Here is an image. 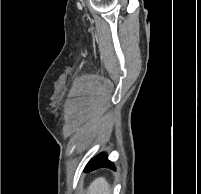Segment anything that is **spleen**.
I'll return each instance as SVG.
<instances>
[{"label":"spleen","mask_w":201,"mask_h":194,"mask_svg":"<svg viewBox=\"0 0 201 194\" xmlns=\"http://www.w3.org/2000/svg\"><path fill=\"white\" fill-rule=\"evenodd\" d=\"M110 186L104 177L95 179L88 189V194H110Z\"/></svg>","instance_id":"1"}]
</instances>
